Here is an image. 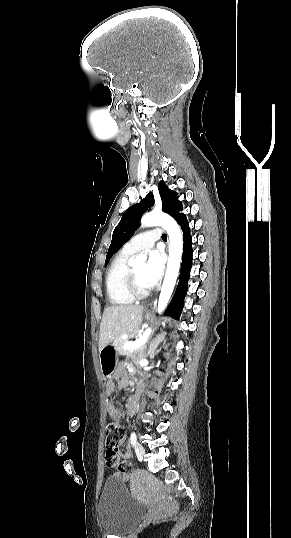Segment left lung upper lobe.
Listing matches in <instances>:
<instances>
[{"label": "left lung upper lobe", "instance_id": "1", "mask_svg": "<svg viewBox=\"0 0 291 538\" xmlns=\"http://www.w3.org/2000/svg\"><path fill=\"white\" fill-rule=\"evenodd\" d=\"M158 190L162 200L163 212L168 213L177 220L183 215V213H179L182 209V204L178 200L177 193L170 190L164 181L159 182ZM153 204V194L149 193L140 203L131 206L123 213L120 222L113 231L112 242L107 252L105 266L109 263L112 255L131 238L139 226L141 216Z\"/></svg>", "mask_w": 291, "mask_h": 538}]
</instances>
